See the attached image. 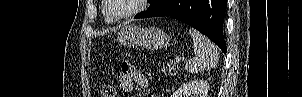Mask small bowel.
Instances as JSON below:
<instances>
[{
	"mask_svg": "<svg viewBox=\"0 0 302 97\" xmlns=\"http://www.w3.org/2000/svg\"><path fill=\"white\" fill-rule=\"evenodd\" d=\"M118 82L120 88L125 92L134 91L136 87L147 89L149 86L147 78L128 62L122 63Z\"/></svg>",
	"mask_w": 302,
	"mask_h": 97,
	"instance_id": "c3829d8e",
	"label": "small bowel"
}]
</instances>
